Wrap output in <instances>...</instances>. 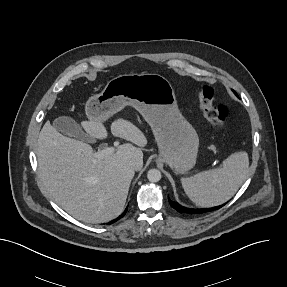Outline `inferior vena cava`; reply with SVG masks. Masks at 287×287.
<instances>
[{
  "instance_id": "inferior-vena-cava-1",
  "label": "inferior vena cava",
  "mask_w": 287,
  "mask_h": 287,
  "mask_svg": "<svg viewBox=\"0 0 287 287\" xmlns=\"http://www.w3.org/2000/svg\"><path fill=\"white\" fill-rule=\"evenodd\" d=\"M129 166L137 171V170H140L143 166V160L142 159H132L130 162H129Z\"/></svg>"
}]
</instances>
